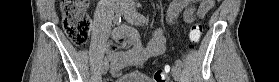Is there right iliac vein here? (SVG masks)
<instances>
[{"instance_id": "63e3f726", "label": "right iliac vein", "mask_w": 279, "mask_h": 82, "mask_svg": "<svg viewBox=\"0 0 279 82\" xmlns=\"http://www.w3.org/2000/svg\"><path fill=\"white\" fill-rule=\"evenodd\" d=\"M125 10H126V8H125V6H123V5H117V6L115 7V12H116V14H118V15L123 14V13L125 12ZM108 69H109V64H108V62H104V63L102 64V67H101V73H102L103 75H105V74L107 73Z\"/></svg>"}]
</instances>
